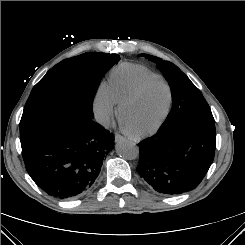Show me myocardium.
I'll use <instances>...</instances> for the list:
<instances>
[{
    "mask_svg": "<svg viewBox=\"0 0 245 245\" xmlns=\"http://www.w3.org/2000/svg\"><path fill=\"white\" fill-rule=\"evenodd\" d=\"M156 81L162 83L166 87V90L168 93V99H167L165 110H164L162 116L160 117V119L150 128L143 129V130L128 129L129 132L135 136L142 137V136H148V135L155 133L163 125V123L167 119L169 112H170V109H171L172 100H173L172 89H171L169 83L165 79H163L162 77H160L158 75L146 78L119 105V114H120V117L123 121L124 109L129 104H131L132 102H134L135 100L138 99V97L141 95V93L143 92V90L145 89V87L147 85H149L152 82H156Z\"/></svg>",
    "mask_w": 245,
    "mask_h": 245,
    "instance_id": "obj_1",
    "label": "myocardium"
}]
</instances>
